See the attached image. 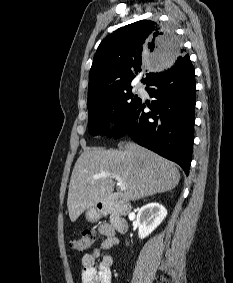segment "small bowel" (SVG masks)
Returning a JSON list of instances; mask_svg holds the SVG:
<instances>
[{"label":"small bowel","instance_id":"small-bowel-1","mask_svg":"<svg viewBox=\"0 0 233 283\" xmlns=\"http://www.w3.org/2000/svg\"><path fill=\"white\" fill-rule=\"evenodd\" d=\"M99 231L105 236V239L92 253L82 257V283H111L112 280L111 268L113 265V257L111 255L103 256L98 268H96L95 263L100 257L101 251L110 249L116 244L115 233L112 228L106 224L101 225Z\"/></svg>","mask_w":233,"mask_h":283}]
</instances>
